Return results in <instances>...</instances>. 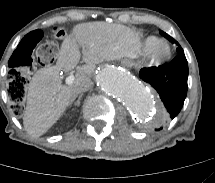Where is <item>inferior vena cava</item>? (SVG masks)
<instances>
[{
	"label": "inferior vena cava",
	"mask_w": 215,
	"mask_h": 183,
	"mask_svg": "<svg viewBox=\"0 0 215 183\" xmlns=\"http://www.w3.org/2000/svg\"><path fill=\"white\" fill-rule=\"evenodd\" d=\"M92 86H93V83L91 80L78 81L75 86V92L77 94L86 92V91L90 90L92 88Z\"/></svg>",
	"instance_id": "obj_1"
}]
</instances>
